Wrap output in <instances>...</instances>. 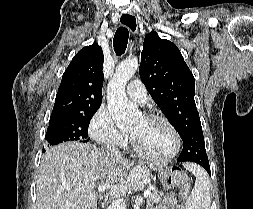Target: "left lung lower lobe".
Returning <instances> with one entry per match:
<instances>
[{
	"mask_svg": "<svg viewBox=\"0 0 253 209\" xmlns=\"http://www.w3.org/2000/svg\"><path fill=\"white\" fill-rule=\"evenodd\" d=\"M195 163H198L202 167L205 168V170L210 174V167H209V162L208 159L205 160H197Z\"/></svg>",
	"mask_w": 253,
	"mask_h": 209,
	"instance_id": "1",
	"label": "left lung lower lobe"
}]
</instances>
